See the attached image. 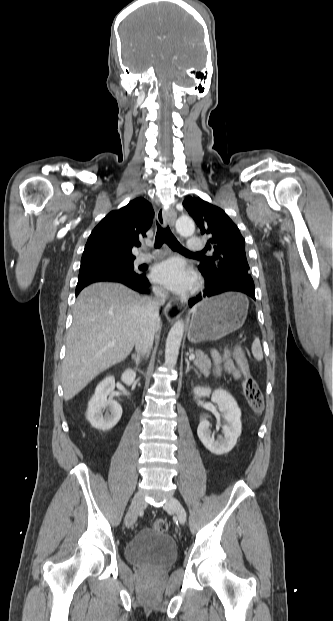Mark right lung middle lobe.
<instances>
[{
	"label": "right lung middle lobe",
	"mask_w": 333,
	"mask_h": 621,
	"mask_svg": "<svg viewBox=\"0 0 333 621\" xmlns=\"http://www.w3.org/2000/svg\"><path fill=\"white\" fill-rule=\"evenodd\" d=\"M134 257H100L81 259L80 271L88 269H113L122 272L134 271Z\"/></svg>",
	"instance_id": "obj_1"
}]
</instances>
